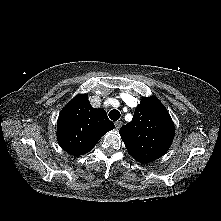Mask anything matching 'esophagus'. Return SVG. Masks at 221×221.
Returning <instances> with one entry per match:
<instances>
[{"instance_id": "34e87169", "label": "esophagus", "mask_w": 221, "mask_h": 221, "mask_svg": "<svg viewBox=\"0 0 221 221\" xmlns=\"http://www.w3.org/2000/svg\"><path fill=\"white\" fill-rule=\"evenodd\" d=\"M122 124H123L122 121H116V122H115V127H116V129H117V130L120 129V127L122 126Z\"/></svg>"}]
</instances>
